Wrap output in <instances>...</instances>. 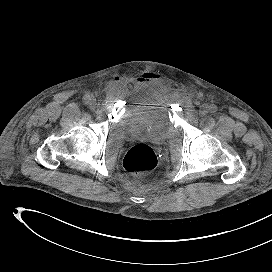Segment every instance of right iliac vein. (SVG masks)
<instances>
[{
    "instance_id": "obj_1",
    "label": "right iliac vein",
    "mask_w": 272,
    "mask_h": 272,
    "mask_svg": "<svg viewBox=\"0 0 272 272\" xmlns=\"http://www.w3.org/2000/svg\"><path fill=\"white\" fill-rule=\"evenodd\" d=\"M89 105H90L91 108L96 107V99L94 97H90Z\"/></svg>"
}]
</instances>
